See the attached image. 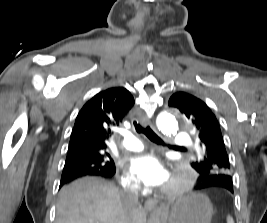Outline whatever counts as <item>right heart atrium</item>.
<instances>
[{
	"instance_id": "d8ad5b80",
	"label": "right heart atrium",
	"mask_w": 267,
	"mask_h": 223,
	"mask_svg": "<svg viewBox=\"0 0 267 223\" xmlns=\"http://www.w3.org/2000/svg\"><path fill=\"white\" fill-rule=\"evenodd\" d=\"M120 181L123 187L126 188L130 192L135 193L139 190L138 182L129 174H126V173L122 174L120 176Z\"/></svg>"
}]
</instances>
